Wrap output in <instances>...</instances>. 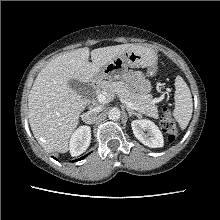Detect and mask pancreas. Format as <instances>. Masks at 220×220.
<instances>
[{
  "mask_svg": "<svg viewBox=\"0 0 220 220\" xmlns=\"http://www.w3.org/2000/svg\"><path fill=\"white\" fill-rule=\"evenodd\" d=\"M98 93L106 94L111 99L117 95L123 103L126 101L131 102L139 107V112L149 117L158 118V110L152 96L150 94L137 92L123 81H102L98 89Z\"/></svg>",
  "mask_w": 220,
  "mask_h": 220,
  "instance_id": "obj_1",
  "label": "pancreas"
}]
</instances>
